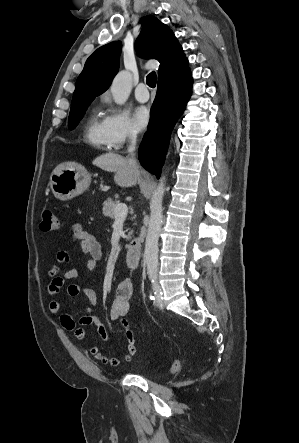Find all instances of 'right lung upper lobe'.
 I'll return each instance as SVG.
<instances>
[{
  "mask_svg": "<svg viewBox=\"0 0 299 443\" xmlns=\"http://www.w3.org/2000/svg\"><path fill=\"white\" fill-rule=\"evenodd\" d=\"M121 42L98 48L86 61L76 81L71 108L93 101L105 92L119 69ZM138 55L160 62L158 80L176 77L189 70L188 60L172 31L155 17L143 21V29L135 42Z\"/></svg>",
  "mask_w": 299,
  "mask_h": 443,
  "instance_id": "obj_1",
  "label": "right lung upper lobe"
}]
</instances>
